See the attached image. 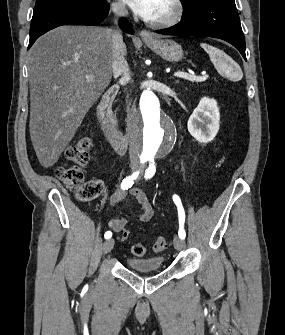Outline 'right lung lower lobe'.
I'll return each mask as SVG.
<instances>
[{"label":"right lung lower lobe","mask_w":285,"mask_h":335,"mask_svg":"<svg viewBox=\"0 0 285 335\" xmlns=\"http://www.w3.org/2000/svg\"><path fill=\"white\" fill-rule=\"evenodd\" d=\"M109 5L104 0L99 4L78 3L71 0H55L35 7L30 26L28 49L38 37L58 26L67 24L97 25L107 15ZM121 28L134 34L133 27L125 18L120 20Z\"/></svg>","instance_id":"right-lung-lower-lobe-1"}]
</instances>
